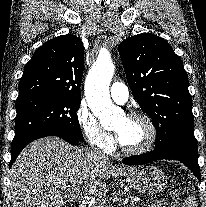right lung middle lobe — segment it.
I'll return each instance as SVG.
<instances>
[{
  "instance_id": "right-lung-middle-lobe-1",
  "label": "right lung middle lobe",
  "mask_w": 206,
  "mask_h": 207,
  "mask_svg": "<svg viewBox=\"0 0 206 207\" xmlns=\"http://www.w3.org/2000/svg\"><path fill=\"white\" fill-rule=\"evenodd\" d=\"M80 98L36 95L17 100L12 147L42 132H58L83 140L77 111Z\"/></svg>"
}]
</instances>
